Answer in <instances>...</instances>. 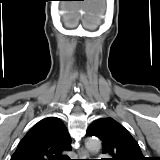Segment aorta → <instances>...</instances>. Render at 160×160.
<instances>
[{
  "instance_id": "aorta-1",
  "label": "aorta",
  "mask_w": 160,
  "mask_h": 160,
  "mask_svg": "<svg viewBox=\"0 0 160 160\" xmlns=\"http://www.w3.org/2000/svg\"><path fill=\"white\" fill-rule=\"evenodd\" d=\"M86 147L91 152H98L101 149V141L95 137L88 138L86 140Z\"/></svg>"
}]
</instances>
